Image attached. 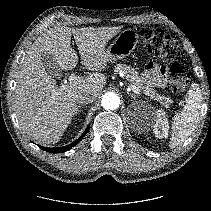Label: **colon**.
<instances>
[{"label":"colon","instance_id":"colon-1","mask_svg":"<svg viewBox=\"0 0 211 211\" xmlns=\"http://www.w3.org/2000/svg\"><path fill=\"white\" fill-rule=\"evenodd\" d=\"M141 34L147 50L169 63L167 75L172 92L176 94L184 92L190 82V76L177 63L183 55L178 42L160 29L143 30Z\"/></svg>","mask_w":211,"mask_h":211}]
</instances>
